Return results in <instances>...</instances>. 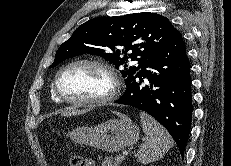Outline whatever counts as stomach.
<instances>
[{"label": "stomach", "instance_id": "0dacf381", "mask_svg": "<svg viewBox=\"0 0 231 166\" xmlns=\"http://www.w3.org/2000/svg\"><path fill=\"white\" fill-rule=\"evenodd\" d=\"M110 119L96 126L74 128L70 138L82 145L95 147L107 152H117L134 145L139 139L140 129L125 115Z\"/></svg>", "mask_w": 231, "mask_h": 166}]
</instances>
